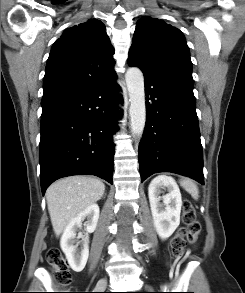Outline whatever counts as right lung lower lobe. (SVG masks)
Instances as JSON below:
<instances>
[{
	"mask_svg": "<svg viewBox=\"0 0 245 293\" xmlns=\"http://www.w3.org/2000/svg\"><path fill=\"white\" fill-rule=\"evenodd\" d=\"M115 78L42 110L39 161L43 195L52 182L71 175H96L113 183L112 136L120 116Z\"/></svg>",
	"mask_w": 245,
	"mask_h": 293,
	"instance_id": "right-lung-lower-lobe-1",
	"label": "right lung lower lobe"
}]
</instances>
